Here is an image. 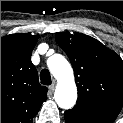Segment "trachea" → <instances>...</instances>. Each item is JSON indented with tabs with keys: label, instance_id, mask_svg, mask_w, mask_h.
Listing matches in <instances>:
<instances>
[{
	"label": "trachea",
	"instance_id": "obj_1",
	"mask_svg": "<svg viewBox=\"0 0 123 123\" xmlns=\"http://www.w3.org/2000/svg\"><path fill=\"white\" fill-rule=\"evenodd\" d=\"M40 79H41V83L44 85H50L51 84V76H50V73L47 69H43L40 72Z\"/></svg>",
	"mask_w": 123,
	"mask_h": 123
}]
</instances>
